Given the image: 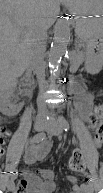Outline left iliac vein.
Instances as JSON below:
<instances>
[{"mask_svg":"<svg viewBox=\"0 0 103 193\" xmlns=\"http://www.w3.org/2000/svg\"><path fill=\"white\" fill-rule=\"evenodd\" d=\"M46 131L51 135L59 136L62 133V125H61V123H56V122L50 123V124H48V126H46ZM89 189H90V193H91L92 187L89 186Z\"/></svg>","mask_w":103,"mask_h":193,"instance_id":"1","label":"left iliac vein"}]
</instances>
